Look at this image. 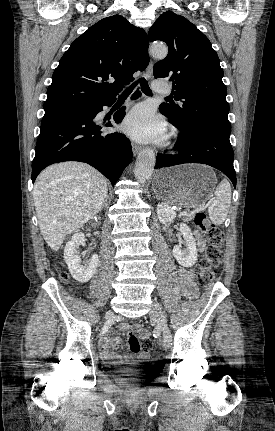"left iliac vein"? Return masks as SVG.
Wrapping results in <instances>:
<instances>
[{"mask_svg":"<svg viewBox=\"0 0 275 431\" xmlns=\"http://www.w3.org/2000/svg\"><path fill=\"white\" fill-rule=\"evenodd\" d=\"M150 317L157 323L158 329L161 331L162 344L165 348L169 347L171 342L170 330L167 326L166 317L159 305V303L154 302L153 307L150 311Z\"/></svg>","mask_w":275,"mask_h":431,"instance_id":"4c4485c4","label":"left iliac vein"}]
</instances>
